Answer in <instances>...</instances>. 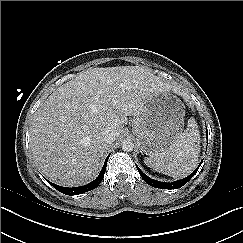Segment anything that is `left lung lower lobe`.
<instances>
[{"label": "left lung lower lobe", "instance_id": "0a47b994", "mask_svg": "<svg viewBox=\"0 0 243 243\" xmlns=\"http://www.w3.org/2000/svg\"><path fill=\"white\" fill-rule=\"evenodd\" d=\"M206 135L208 137V131L206 132ZM207 141H208V138H207ZM136 167H137V170H138L139 174L141 175V177L144 179V181L148 185L153 186V187H156V188H160V189H177V188L182 187L183 185H185L194 176V174L199 169V167H198L191 175H189L188 177H186L184 179H181V180H178V181H175V182H171V183H166V182H160V181L151 179L150 177H148L147 175H145L140 170V168L137 165H136Z\"/></svg>", "mask_w": 243, "mask_h": 243}]
</instances>
